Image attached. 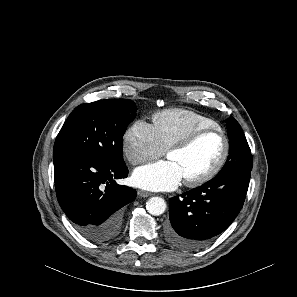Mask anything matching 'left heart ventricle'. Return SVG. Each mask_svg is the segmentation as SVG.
Returning a JSON list of instances; mask_svg holds the SVG:
<instances>
[{
    "instance_id": "left-heart-ventricle-1",
    "label": "left heart ventricle",
    "mask_w": 297,
    "mask_h": 297,
    "mask_svg": "<svg viewBox=\"0 0 297 297\" xmlns=\"http://www.w3.org/2000/svg\"><path fill=\"white\" fill-rule=\"evenodd\" d=\"M222 152V139L212 133L200 137L187 149L169 153L168 159L181 167L185 179H190L209 171L217 163Z\"/></svg>"
}]
</instances>
